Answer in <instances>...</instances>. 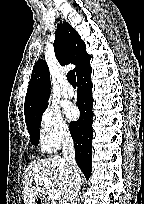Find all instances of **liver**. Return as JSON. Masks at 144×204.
I'll return each mask as SVG.
<instances>
[{"mask_svg":"<svg viewBox=\"0 0 144 204\" xmlns=\"http://www.w3.org/2000/svg\"><path fill=\"white\" fill-rule=\"evenodd\" d=\"M36 176H43L52 181V189L57 190L62 198L69 188V176L67 166L63 158L53 156L47 159L33 160L28 165L24 174L23 199L25 204H35L43 191V182H32Z\"/></svg>","mask_w":144,"mask_h":204,"instance_id":"liver-1","label":"liver"}]
</instances>
